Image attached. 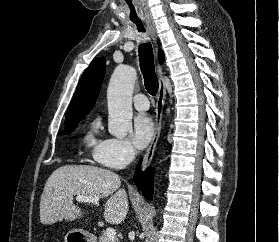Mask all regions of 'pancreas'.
Listing matches in <instances>:
<instances>
[{"label":"pancreas","mask_w":279,"mask_h":242,"mask_svg":"<svg viewBox=\"0 0 279 242\" xmlns=\"http://www.w3.org/2000/svg\"><path fill=\"white\" fill-rule=\"evenodd\" d=\"M99 242H120L118 238H114L113 240L108 239L107 236L104 234L99 238Z\"/></svg>","instance_id":"1"}]
</instances>
